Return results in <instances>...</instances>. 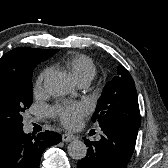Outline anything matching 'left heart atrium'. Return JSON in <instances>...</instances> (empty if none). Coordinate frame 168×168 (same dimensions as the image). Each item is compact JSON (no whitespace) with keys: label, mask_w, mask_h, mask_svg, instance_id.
<instances>
[{"label":"left heart atrium","mask_w":168,"mask_h":168,"mask_svg":"<svg viewBox=\"0 0 168 168\" xmlns=\"http://www.w3.org/2000/svg\"><path fill=\"white\" fill-rule=\"evenodd\" d=\"M53 116L68 128H75L86 115V106L82 103L57 105L51 110Z\"/></svg>","instance_id":"obj_1"}]
</instances>
